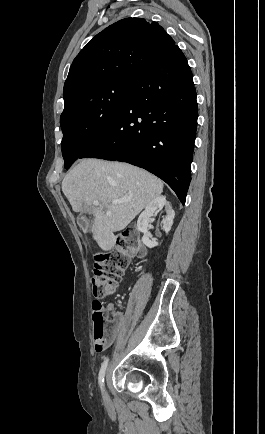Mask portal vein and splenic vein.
<instances>
[{"label":"portal vein and splenic vein","mask_w":265,"mask_h":434,"mask_svg":"<svg viewBox=\"0 0 265 434\" xmlns=\"http://www.w3.org/2000/svg\"><path fill=\"white\" fill-rule=\"evenodd\" d=\"M128 200H131V198H120V200H113L111 204L115 206V204H122V202H128ZM93 206H99L98 200H93Z\"/></svg>","instance_id":"obj_1"}]
</instances>
